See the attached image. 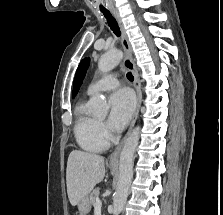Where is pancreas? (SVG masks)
Instances as JSON below:
<instances>
[{"label":"pancreas","mask_w":223,"mask_h":215,"mask_svg":"<svg viewBox=\"0 0 223 215\" xmlns=\"http://www.w3.org/2000/svg\"><path fill=\"white\" fill-rule=\"evenodd\" d=\"M99 189H101V187H95V189H92V191H91V198L90 199H92L93 201V205H94V203H96V197H98V195H99V193H100V191H99Z\"/></svg>","instance_id":"pancreas-1"}]
</instances>
